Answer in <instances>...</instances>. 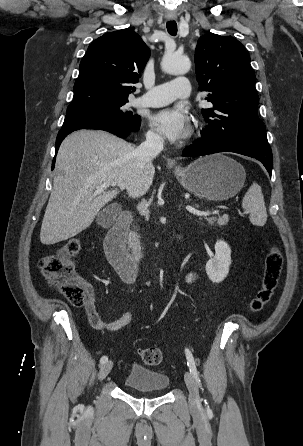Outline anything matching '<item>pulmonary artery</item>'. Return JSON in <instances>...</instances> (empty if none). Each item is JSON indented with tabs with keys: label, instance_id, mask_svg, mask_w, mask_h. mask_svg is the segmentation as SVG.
Wrapping results in <instances>:
<instances>
[{
	"label": "pulmonary artery",
	"instance_id": "obj_1",
	"mask_svg": "<svg viewBox=\"0 0 303 446\" xmlns=\"http://www.w3.org/2000/svg\"><path fill=\"white\" fill-rule=\"evenodd\" d=\"M190 94V83L185 77H177L160 84L135 100L136 105L159 107L176 99L187 98Z\"/></svg>",
	"mask_w": 303,
	"mask_h": 446
}]
</instances>
